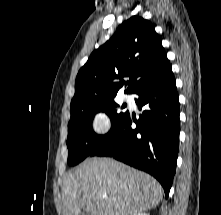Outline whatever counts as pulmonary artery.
<instances>
[{
  "mask_svg": "<svg viewBox=\"0 0 221 215\" xmlns=\"http://www.w3.org/2000/svg\"><path fill=\"white\" fill-rule=\"evenodd\" d=\"M125 99H126V101H128L129 103H132V102H133V97H132L131 95H129V94H126V95H125Z\"/></svg>",
  "mask_w": 221,
  "mask_h": 215,
  "instance_id": "e3ab8cb5",
  "label": "pulmonary artery"
}]
</instances>
